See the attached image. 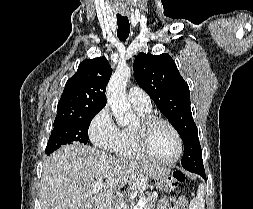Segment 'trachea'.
Segmentation results:
<instances>
[{"instance_id":"1","label":"trachea","mask_w":253,"mask_h":209,"mask_svg":"<svg viewBox=\"0 0 253 209\" xmlns=\"http://www.w3.org/2000/svg\"><path fill=\"white\" fill-rule=\"evenodd\" d=\"M117 36L121 41H125L129 36L130 25L129 20L125 16L117 15Z\"/></svg>"}]
</instances>
